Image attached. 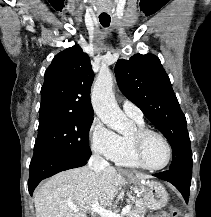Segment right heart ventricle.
I'll use <instances>...</instances> for the list:
<instances>
[{"instance_id":"obj_1","label":"right heart ventricle","mask_w":211,"mask_h":217,"mask_svg":"<svg viewBox=\"0 0 211 217\" xmlns=\"http://www.w3.org/2000/svg\"><path fill=\"white\" fill-rule=\"evenodd\" d=\"M133 121L137 124L138 129H144L146 128L144 120H138L132 118ZM113 161L123 167H131V168H138L140 165L136 161L133 151H132V145H131V136L124 135L120 136V146L119 150L116 153L115 157L113 158Z\"/></svg>"}]
</instances>
